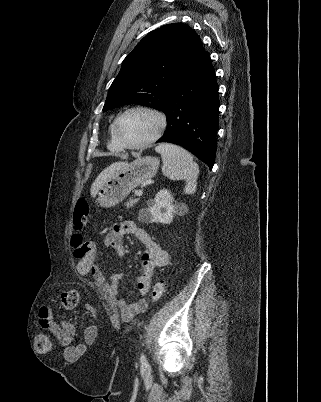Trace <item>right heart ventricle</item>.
<instances>
[{
  "instance_id": "right-heart-ventricle-1",
  "label": "right heart ventricle",
  "mask_w": 321,
  "mask_h": 402,
  "mask_svg": "<svg viewBox=\"0 0 321 402\" xmlns=\"http://www.w3.org/2000/svg\"><path fill=\"white\" fill-rule=\"evenodd\" d=\"M113 124L112 123L109 127V138H108V142H107V148L115 153H119L123 150V148L119 145V143L117 142L115 135H114V131H113Z\"/></svg>"
}]
</instances>
